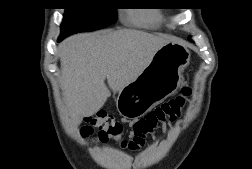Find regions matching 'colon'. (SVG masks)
<instances>
[{
    "instance_id": "colon-1",
    "label": "colon",
    "mask_w": 252,
    "mask_h": 169,
    "mask_svg": "<svg viewBox=\"0 0 252 169\" xmlns=\"http://www.w3.org/2000/svg\"><path fill=\"white\" fill-rule=\"evenodd\" d=\"M190 94L189 87L183 88L180 95L139 119L127 138H123L121 124L104 112L87 117L86 126L82 128V136L87 137L97 130L100 140L121 142L124 147L130 150H138L144 146L147 138L156 130L177 121Z\"/></svg>"
}]
</instances>
